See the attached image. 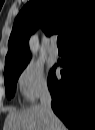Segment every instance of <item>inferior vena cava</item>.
<instances>
[{"instance_id":"obj_1","label":"inferior vena cava","mask_w":95,"mask_h":130,"mask_svg":"<svg viewBox=\"0 0 95 130\" xmlns=\"http://www.w3.org/2000/svg\"><path fill=\"white\" fill-rule=\"evenodd\" d=\"M51 102H52V98L49 90L48 89L43 90L40 95V106L50 122V130H55L56 129L55 123L57 117L55 116L52 110Z\"/></svg>"}]
</instances>
